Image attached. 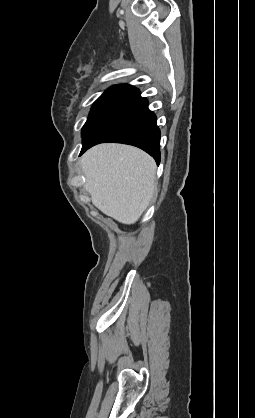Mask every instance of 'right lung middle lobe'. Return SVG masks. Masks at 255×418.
<instances>
[{
  "mask_svg": "<svg viewBox=\"0 0 255 418\" xmlns=\"http://www.w3.org/2000/svg\"><path fill=\"white\" fill-rule=\"evenodd\" d=\"M124 88L113 86L110 89L106 90L93 104L89 117L82 128V136L86 131L87 127L91 123L92 119L96 114L118 93H120Z\"/></svg>",
  "mask_w": 255,
  "mask_h": 418,
  "instance_id": "dd1d6c3e",
  "label": "right lung middle lobe"
}]
</instances>
